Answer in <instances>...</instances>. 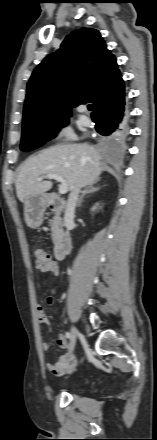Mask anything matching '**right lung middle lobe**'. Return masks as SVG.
Instances as JSON below:
<instances>
[{
  "label": "right lung middle lobe",
  "mask_w": 157,
  "mask_h": 440,
  "mask_svg": "<svg viewBox=\"0 0 157 440\" xmlns=\"http://www.w3.org/2000/svg\"><path fill=\"white\" fill-rule=\"evenodd\" d=\"M68 124V120H57L52 122L31 123L23 126L20 149L32 151L50 139L54 138L61 127ZM121 139V138H119ZM114 137H105L106 142L119 140Z\"/></svg>",
  "instance_id": "dd1d6c3e"
}]
</instances>
